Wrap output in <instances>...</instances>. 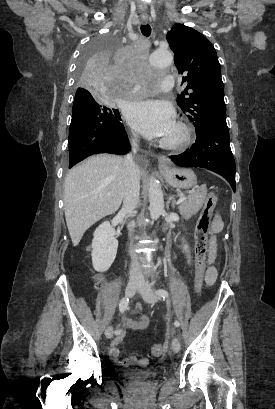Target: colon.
<instances>
[{
  "label": "colon",
  "instance_id": "obj_1",
  "mask_svg": "<svg viewBox=\"0 0 275 409\" xmlns=\"http://www.w3.org/2000/svg\"><path fill=\"white\" fill-rule=\"evenodd\" d=\"M217 197L214 193H210L199 212L195 232V269H196V287L200 289L204 283L206 272V254L208 244V231L212 212L216 206ZM100 286H104V281H99ZM163 344L154 342L152 349L149 352L151 358H160L162 356Z\"/></svg>",
  "mask_w": 275,
  "mask_h": 409
}]
</instances>
